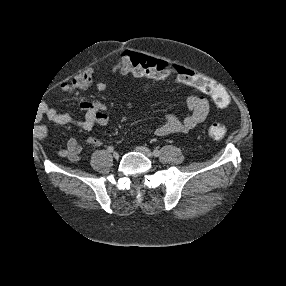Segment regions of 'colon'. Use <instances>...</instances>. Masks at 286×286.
<instances>
[{
  "mask_svg": "<svg viewBox=\"0 0 286 286\" xmlns=\"http://www.w3.org/2000/svg\"><path fill=\"white\" fill-rule=\"evenodd\" d=\"M113 70L120 74L132 73L135 75H146L156 79H178L190 83L197 89L210 95L218 108L224 109L229 105L228 93L214 80L183 67L168 65L161 60L140 53L130 51L120 53ZM93 75V70H86L66 83L62 87V90L66 93H72L84 89L92 82ZM207 134L211 139L221 140L227 134V127L220 122L211 123L207 129Z\"/></svg>",
  "mask_w": 286,
  "mask_h": 286,
  "instance_id": "1",
  "label": "colon"
}]
</instances>
